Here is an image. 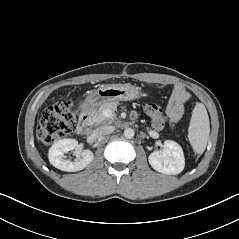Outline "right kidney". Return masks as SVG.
I'll return each mask as SVG.
<instances>
[{
	"label": "right kidney",
	"instance_id": "right-kidney-1",
	"mask_svg": "<svg viewBox=\"0 0 239 239\" xmlns=\"http://www.w3.org/2000/svg\"><path fill=\"white\" fill-rule=\"evenodd\" d=\"M78 147L75 139H62L54 143L49 150L50 163L59 170L67 172H76L87 167L93 160L94 155L90 150L81 152V158L74 162L64 160L65 153L72 151Z\"/></svg>",
	"mask_w": 239,
	"mask_h": 239
}]
</instances>
